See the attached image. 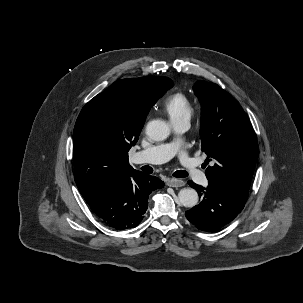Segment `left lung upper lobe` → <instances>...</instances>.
Listing matches in <instances>:
<instances>
[{
  "label": "left lung upper lobe",
  "instance_id": "5c2ea615",
  "mask_svg": "<svg viewBox=\"0 0 303 303\" xmlns=\"http://www.w3.org/2000/svg\"><path fill=\"white\" fill-rule=\"evenodd\" d=\"M201 102V149L208 157V182L224 186L247 200L259 155L252 125L238 102L214 83L193 86Z\"/></svg>",
  "mask_w": 303,
  "mask_h": 303
}]
</instances>
